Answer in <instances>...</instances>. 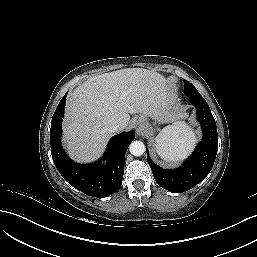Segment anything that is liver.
Masks as SVG:
<instances>
[{
    "label": "liver",
    "mask_w": 257,
    "mask_h": 257,
    "mask_svg": "<svg viewBox=\"0 0 257 257\" xmlns=\"http://www.w3.org/2000/svg\"><path fill=\"white\" fill-rule=\"evenodd\" d=\"M173 102L166 78L154 71L126 68L93 76L67 97L63 122L67 151L77 162L93 161L104 151L112 124H120L122 131L135 113L172 122L182 116L177 108L173 115L168 113Z\"/></svg>",
    "instance_id": "1"
}]
</instances>
